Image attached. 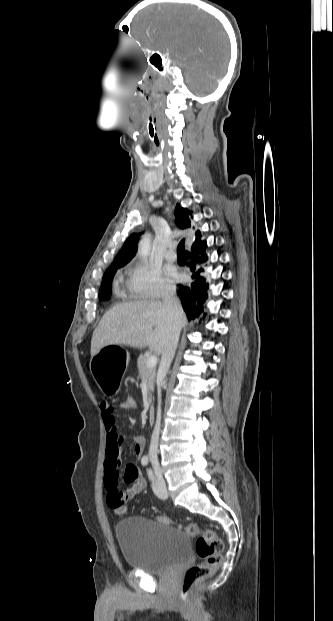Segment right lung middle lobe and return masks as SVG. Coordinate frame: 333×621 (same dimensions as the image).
Returning a JSON list of instances; mask_svg holds the SVG:
<instances>
[{
	"label": "right lung middle lobe",
	"mask_w": 333,
	"mask_h": 621,
	"mask_svg": "<svg viewBox=\"0 0 333 621\" xmlns=\"http://www.w3.org/2000/svg\"><path fill=\"white\" fill-rule=\"evenodd\" d=\"M123 265L120 266H116V267H110L107 269V271L105 272L104 276H103V280H102V285L99 291V299L106 301L109 300L112 294L111 291V281L112 278L117 270V268L122 267Z\"/></svg>",
	"instance_id": "1"
}]
</instances>
